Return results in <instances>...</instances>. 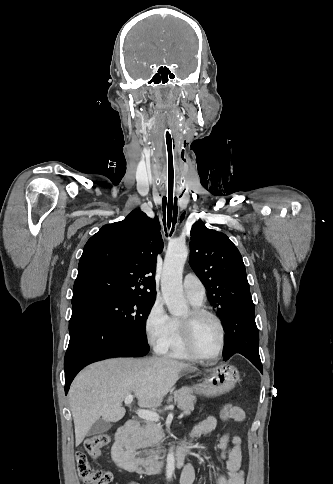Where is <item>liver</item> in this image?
Wrapping results in <instances>:
<instances>
[{"instance_id": "obj_1", "label": "liver", "mask_w": 333, "mask_h": 484, "mask_svg": "<svg viewBox=\"0 0 333 484\" xmlns=\"http://www.w3.org/2000/svg\"><path fill=\"white\" fill-rule=\"evenodd\" d=\"M196 370L191 364L160 357L115 358L91 364L75 377L68 393L76 446L101 417L110 422L122 419L127 395L134 393L141 407L156 408L181 373Z\"/></svg>"}]
</instances>
